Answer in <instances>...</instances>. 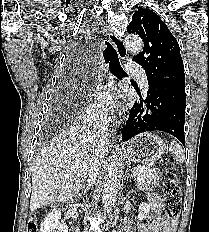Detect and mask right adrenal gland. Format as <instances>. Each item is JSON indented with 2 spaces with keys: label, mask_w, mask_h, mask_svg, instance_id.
Masks as SVG:
<instances>
[{
  "label": "right adrenal gland",
  "mask_w": 209,
  "mask_h": 232,
  "mask_svg": "<svg viewBox=\"0 0 209 232\" xmlns=\"http://www.w3.org/2000/svg\"><path fill=\"white\" fill-rule=\"evenodd\" d=\"M86 189H87V187L84 188V186H83V187H82V192H83V190L86 191Z\"/></svg>",
  "instance_id": "right-adrenal-gland-1"
}]
</instances>
